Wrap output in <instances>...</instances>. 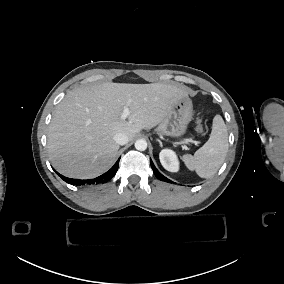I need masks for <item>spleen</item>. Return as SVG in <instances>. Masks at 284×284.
<instances>
[{
	"mask_svg": "<svg viewBox=\"0 0 284 284\" xmlns=\"http://www.w3.org/2000/svg\"><path fill=\"white\" fill-rule=\"evenodd\" d=\"M228 152V132L223 118H213L210 138L194 154L180 157L189 171H195L200 178H210L224 163Z\"/></svg>",
	"mask_w": 284,
	"mask_h": 284,
	"instance_id": "1",
	"label": "spleen"
}]
</instances>
